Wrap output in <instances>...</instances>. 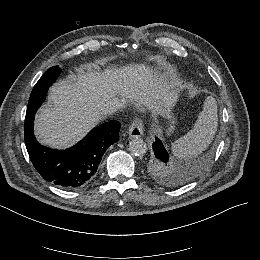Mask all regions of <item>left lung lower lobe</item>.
<instances>
[{"label":"left lung lower lobe","mask_w":260,"mask_h":260,"mask_svg":"<svg viewBox=\"0 0 260 260\" xmlns=\"http://www.w3.org/2000/svg\"><path fill=\"white\" fill-rule=\"evenodd\" d=\"M154 155L160 159L168 160L169 154L165 150L162 142L156 137V141L153 143Z\"/></svg>","instance_id":"0a47b994"}]
</instances>
